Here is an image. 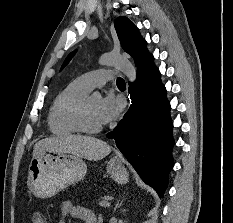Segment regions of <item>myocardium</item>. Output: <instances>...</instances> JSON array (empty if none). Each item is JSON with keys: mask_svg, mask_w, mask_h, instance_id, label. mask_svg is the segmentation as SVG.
I'll use <instances>...</instances> for the list:
<instances>
[{"mask_svg": "<svg viewBox=\"0 0 233 223\" xmlns=\"http://www.w3.org/2000/svg\"><path fill=\"white\" fill-rule=\"evenodd\" d=\"M90 97H86L82 100V102L78 105L76 112H75V124L77 129L84 134H97L99 133L103 126H91L87 120V104Z\"/></svg>", "mask_w": 233, "mask_h": 223, "instance_id": "myocardium-1", "label": "myocardium"}]
</instances>
